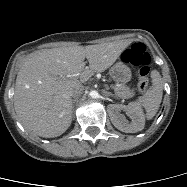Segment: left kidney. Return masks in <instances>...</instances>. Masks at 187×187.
Returning <instances> with one entry per match:
<instances>
[{
	"label": "left kidney",
	"mask_w": 187,
	"mask_h": 187,
	"mask_svg": "<svg viewBox=\"0 0 187 187\" xmlns=\"http://www.w3.org/2000/svg\"><path fill=\"white\" fill-rule=\"evenodd\" d=\"M124 111L131 119L128 122L120 113ZM108 113L112 124L120 131L126 133H135L141 131L145 125V118L141 107L136 103L129 105L110 104L108 105Z\"/></svg>",
	"instance_id": "obj_1"
}]
</instances>
